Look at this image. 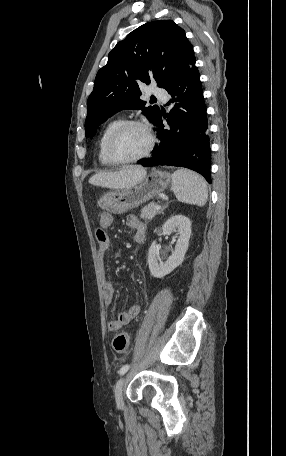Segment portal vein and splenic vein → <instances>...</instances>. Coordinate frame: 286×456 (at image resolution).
<instances>
[{
	"label": "portal vein and splenic vein",
	"instance_id": "portal-vein-and-splenic-vein-1",
	"mask_svg": "<svg viewBox=\"0 0 286 456\" xmlns=\"http://www.w3.org/2000/svg\"><path fill=\"white\" fill-rule=\"evenodd\" d=\"M155 209H156V210L161 209V205H156V206H155Z\"/></svg>",
	"mask_w": 286,
	"mask_h": 456
}]
</instances>
